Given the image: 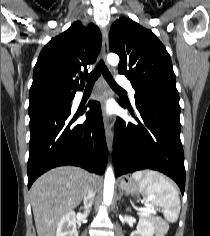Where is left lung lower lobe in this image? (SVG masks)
Returning <instances> with one entry per match:
<instances>
[{"mask_svg": "<svg viewBox=\"0 0 210 236\" xmlns=\"http://www.w3.org/2000/svg\"><path fill=\"white\" fill-rule=\"evenodd\" d=\"M120 106L124 104L118 100ZM139 125L117 118L113 162L116 176L153 169L171 177L185 189L184 154L180 140L179 102L148 98L136 100ZM132 115L133 112L130 111Z\"/></svg>", "mask_w": 210, "mask_h": 236, "instance_id": "left-lung-lower-lobe-1", "label": "left lung lower lobe"}]
</instances>
